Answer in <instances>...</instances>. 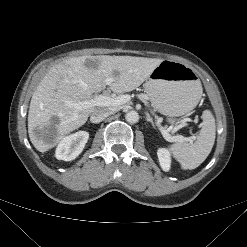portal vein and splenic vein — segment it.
Segmentation results:
<instances>
[{"mask_svg":"<svg viewBox=\"0 0 247 247\" xmlns=\"http://www.w3.org/2000/svg\"><path fill=\"white\" fill-rule=\"evenodd\" d=\"M112 78L106 79V84L109 85L112 82ZM131 99L129 95H120L117 97H109L104 94H99L94 96L93 98H89L80 102H72V101H66V103L73 107L76 110H80L82 108H88V107H94V106H118L125 104ZM160 131L163 135V137L169 141V142H183V141H190L192 142L195 140V137H184L182 135L177 136H171L167 130H165L163 127H160Z\"/></svg>","mask_w":247,"mask_h":247,"instance_id":"1","label":"portal vein and splenic vein"}]
</instances>
